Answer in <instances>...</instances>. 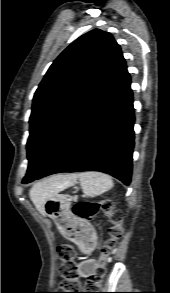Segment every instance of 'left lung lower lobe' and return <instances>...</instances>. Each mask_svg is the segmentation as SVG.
Instances as JSON below:
<instances>
[{
  "label": "left lung lower lobe",
  "instance_id": "1",
  "mask_svg": "<svg viewBox=\"0 0 170 293\" xmlns=\"http://www.w3.org/2000/svg\"><path fill=\"white\" fill-rule=\"evenodd\" d=\"M127 68L107 96L86 118L61 153L35 179L61 173L100 171L129 185L134 148V108Z\"/></svg>",
  "mask_w": 170,
  "mask_h": 293
}]
</instances>
